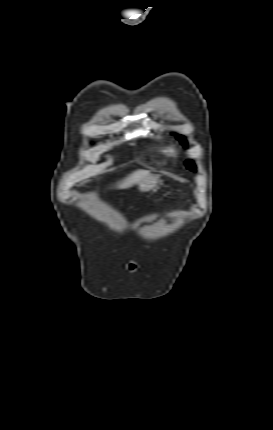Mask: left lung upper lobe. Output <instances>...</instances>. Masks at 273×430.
I'll return each mask as SVG.
<instances>
[{
  "label": "left lung upper lobe",
  "instance_id": "left-lung-upper-lobe-1",
  "mask_svg": "<svg viewBox=\"0 0 273 430\" xmlns=\"http://www.w3.org/2000/svg\"><path fill=\"white\" fill-rule=\"evenodd\" d=\"M176 137H177V139H178V140H180L181 144H182L184 147H187V141L184 139V137H183V136H181V135H176ZM186 166H187V168H188L189 170L196 171L195 164H194L191 160H187V161H186Z\"/></svg>",
  "mask_w": 273,
  "mask_h": 430
}]
</instances>
